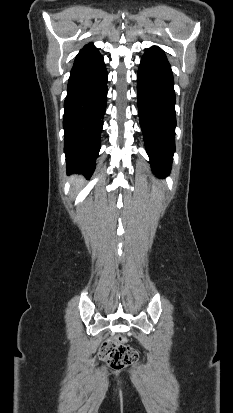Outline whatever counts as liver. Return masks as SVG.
Here are the masks:
<instances>
[{
	"mask_svg": "<svg viewBox=\"0 0 233 413\" xmlns=\"http://www.w3.org/2000/svg\"><path fill=\"white\" fill-rule=\"evenodd\" d=\"M81 185H82V182H81V180H79L78 187H80Z\"/></svg>",
	"mask_w": 233,
	"mask_h": 413,
	"instance_id": "6515ba94",
	"label": "liver"
}]
</instances>
